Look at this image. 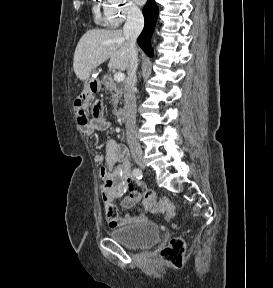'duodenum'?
<instances>
[{
    "instance_id": "1",
    "label": "duodenum",
    "mask_w": 273,
    "mask_h": 288,
    "mask_svg": "<svg viewBox=\"0 0 273 288\" xmlns=\"http://www.w3.org/2000/svg\"><path fill=\"white\" fill-rule=\"evenodd\" d=\"M117 118L119 122L124 123L126 121V111L123 108L117 109Z\"/></svg>"
}]
</instances>
